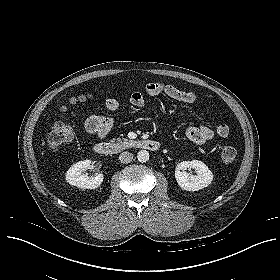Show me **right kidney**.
Listing matches in <instances>:
<instances>
[{"instance_id": "1", "label": "right kidney", "mask_w": 280, "mask_h": 280, "mask_svg": "<svg viewBox=\"0 0 280 280\" xmlns=\"http://www.w3.org/2000/svg\"><path fill=\"white\" fill-rule=\"evenodd\" d=\"M91 161L86 159L73 164L66 172V181L73 186L81 189H95L103 182V174H98L95 177H89L83 174V170L89 168Z\"/></svg>"}]
</instances>
